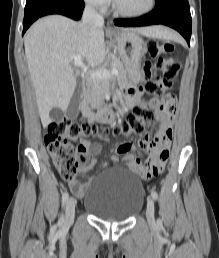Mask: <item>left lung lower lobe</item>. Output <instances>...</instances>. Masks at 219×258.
I'll list each match as a JSON object with an SVG mask.
<instances>
[{
    "label": "left lung lower lobe",
    "mask_w": 219,
    "mask_h": 258,
    "mask_svg": "<svg viewBox=\"0 0 219 258\" xmlns=\"http://www.w3.org/2000/svg\"><path fill=\"white\" fill-rule=\"evenodd\" d=\"M116 26L138 27L163 24L174 28L190 44L192 19L188 0H161L152 12L135 19H116Z\"/></svg>",
    "instance_id": "left-lung-lower-lobe-1"
}]
</instances>
